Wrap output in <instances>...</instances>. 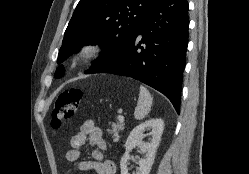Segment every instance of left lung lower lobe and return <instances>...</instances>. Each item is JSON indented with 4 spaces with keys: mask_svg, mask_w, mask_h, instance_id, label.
Listing matches in <instances>:
<instances>
[{
    "mask_svg": "<svg viewBox=\"0 0 249 174\" xmlns=\"http://www.w3.org/2000/svg\"><path fill=\"white\" fill-rule=\"evenodd\" d=\"M188 28L187 0H156L121 58L109 68L92 73L139 80L163 93L179 114Z\"/></svg>",
    "mask_w": 249,
    "mask_h": 174,
    "instance_id": "0a47b994",
    "label": "left lung lower lobe"
}]
</instances>
